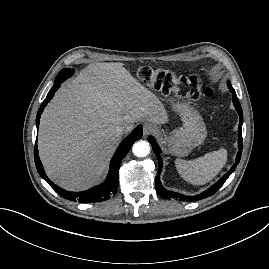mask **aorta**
Wrapping results in <instances>:
<instances>
[{
    "label": "aorta",
    "instance_id": "762f6f07",
    "mask_svg": "<svg viewBox=\"0 0 269 269\" xmlns=\"http://www.w3.org/2000/svg\"><path fill=\"white\" fill-rule=\"evenodd\" d=\"M133 154L137 157H145L150 153V145L146 141H137L132 147Z\"/></svg>",
    "mask_w": 269,
    "mask_h": 269
}]
</instances>
